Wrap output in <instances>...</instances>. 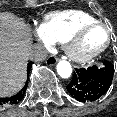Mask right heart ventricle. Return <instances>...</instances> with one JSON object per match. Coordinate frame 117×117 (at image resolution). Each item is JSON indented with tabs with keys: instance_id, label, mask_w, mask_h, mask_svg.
<instances>
[{
	"instance_id": "right-heart-ventricle-1",
	"label": "right heart ventricle",
	"mask_w": 117,
	"mask_h": 117,
	"mask_svg": "<svg viewBox=\"0 0 117 117\" xmlns=\"http://www.w3.org/2000/svg\"><path fill=\"white\" fill-rule=\"evenodd\" d=\"M98 21L93 15L81 10H66L45 16L42 27L53 41L65 42L79 27Z\"/></svg>"
}]
</instances>
